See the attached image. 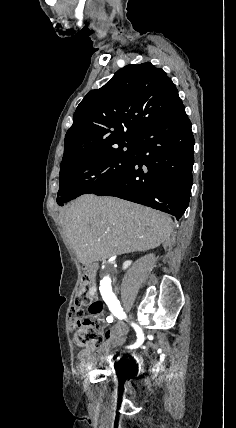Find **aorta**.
<instances>
[{
    "mask_svg": "<svg viewBox=\"0 0 236 428\" xmlns=\"http://www.w3.org/2000/svg\"><path fill=\"white\" fill-rule=\"evenodd\" d=\"M101 286L105 291L111 292L114 286V278L111 274H107L101 280Z\"/></svg>",
    "mask_w": 236,
    "mask_h": 428,
    "instance_id": "762f6f07",
    "label": "aorta"
}]
</instances>
